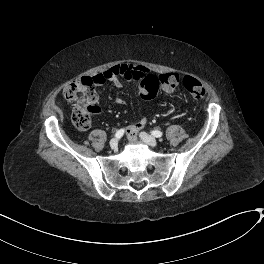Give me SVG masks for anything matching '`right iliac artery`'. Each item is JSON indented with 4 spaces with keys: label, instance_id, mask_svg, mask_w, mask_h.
Instances as JSON below:
<instances>
[{
    "label": "right iliac artery",
    "instance_id": "obj_1",
    "mask_svg": "<svg viewBox=\"0 0 264 264\" xmlns=\"http://www.w3.org/2000/svg\"><path fill=\"white\" fill-rule=\"evenodd\" d=\"M123 134H124V129H120L116 132L115 137L121 138L123 136Z\"/></svg>",
    "mask_w": 264,
    "mask_h": 264
}]
</instances>
